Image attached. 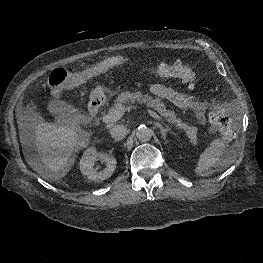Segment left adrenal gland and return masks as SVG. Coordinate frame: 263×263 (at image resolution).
Here are the masks:
<instances>
[{"mask_svg": "<svg viewBox=\"0 0 263 263\" xmlns=\"http://www.w3.org/2000/svg\"><path fill=\"white\" fill-rule=\"evenodd\" d=\"M155 126L160 128V131H161V134H162V138L164 140H166V134L169 131V129L168 128H164L163 125L160 124V123H155Z\"/></svg>", "mask_w": 263, "mask_h": 263, "instance_id": "1", "label": "left adrenal gland"}]
</instances>
